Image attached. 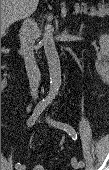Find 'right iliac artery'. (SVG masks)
Wrapping results in <instances>:
<instances>
[{
    "instance_id": "obj_1",
    "label": "right iliac artery",
    "mask_w": 109,
    "mask_h": 170,
    "mask_svg": "<svg viewBox=\"0 0 109 170\" xmlns=\"http://www.w3.org/2000/svg\"><path fill=\"white\" fill-rule=\"evenodd\" d=\"M46 107V102H40L36 108L33 111V114L30 116V118L27 120V126L28 127H32L36 120L39 118V116L41 115V113L43 112V110ZM19 166H21L20 163H16L15 167L18 168Z\"/></svg>"
}]
</instances>
